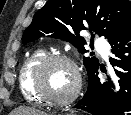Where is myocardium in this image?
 <instances>
[{"instance_id":"f54148a6","label":"myocardium","mask_w":131,"mask_h":115,"mask_svg":"<svg viewBox=\"0 0 131 115\" xmlns=\"http://www.w3.org/2000/svg\"><path fill=\"white\" fill-rule=\"evenodd\" d=\"M57 62L68 64L75 75V85L72 92L66 98H53L49 93L44 90L43 75L49 65ZM82 87V78L80 70L75 61L63 54L46 55L34 68L32 76V88L39 98L54 107H64L71 104L79 95Z\"/></svg>"}]
</instances>
